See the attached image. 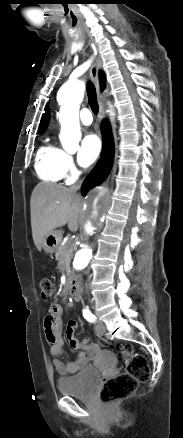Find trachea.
Instances as JSON below:
<instances>
[{
  "instance_id": "1",
  "label": "trachea",
  "mask_w": 183,
  "mask_h": 438,
  "mask_svg": "<svg viewBox=\"0 0 183 438\" xmlns=\"http://www.w3.org/2000/svg\"><path fill=\"white\" fill-rule=\"evenodd\" d=\"M87 96H88V102L90 104L91 110L93 111L94 114L97 115L99 112V105L97 102L95 87L91 82H89L87 84Z\"/></svg>"
}]
</instances>
